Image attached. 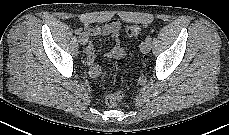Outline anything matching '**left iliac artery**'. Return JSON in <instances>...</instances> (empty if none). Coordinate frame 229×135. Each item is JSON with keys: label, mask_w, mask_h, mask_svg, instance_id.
I'll return each instance as SVG.
<instances>
[{"label": "left iliac artery", "mask_w": 229, "mask_h": 135, "mask_svg": "<svg viewBox=\"0 0 229 135\" xmlns=\"http://www.w3.org/2000/svg\"><path fill=\"white\" fill-rule=\"evenodd\" d=\"M151 40H152V37H151V36H147V37H146V41H147V42H151Z\"/></svg>", "instance_id": "1"}]
</instances>
